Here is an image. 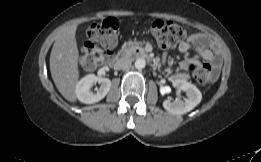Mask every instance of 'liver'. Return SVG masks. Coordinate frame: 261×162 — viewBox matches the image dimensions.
<instances>
[{"label": "liver", "instance_id": "6515ba94", "mask_svg": "<svg viewBox=\"0 0 261 162\" xmlns=\"http://www.w3.org/2000/svg\"><path fill=\"white\" fill-rule=\"evenodd\" d=\"M76 29L77 25L74 24L61 31L50 55L52 79L61 95L70 102H76L75 87L79 79Z\"/></svg>", "mask_w": 261, "mask_h": 162}]
</instances>
